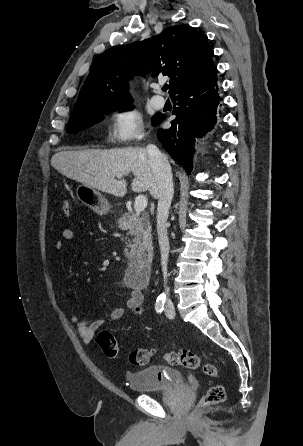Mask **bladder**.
I'll list each match as a JSON object with an SVG mask.
<instances>
[{
  "instance_id": "bladder-1",
  "label": "bladder",
  "mask_w": 303,
  "mask_h": 446,
  "mask_svg": "<svg viewBox=\"0 0 303 446\" xmlns=\"http://www.w3.org/2000/svg\"><path fill=\"white\" fill-rule=\"evenodd\" d=\"M131 390L135 392H160L186 385L183 374L175 369L150 366L126 375Z\"/></svg>"
}]
</instances>
